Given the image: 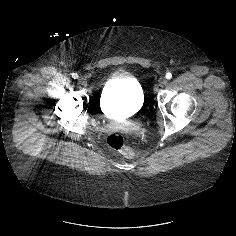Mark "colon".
<instances>
[{
  "mask_svg": "<svg viewBox=\"0 0 236 236\" xmlns=\"http://www.w3.org/2000/svg\"><path fill=\"white\" fill-rule=\"evenodd\" d=\"M106 143L113 151L123 156L132 157L134 155V151L127 147L126 141L120 133L109 134Z\"/></svg>",
  "mask_w": 236,
  "mask_h": 236,
  "instance_id": "obj_1",
  "label": "colon"
}]
</instances>
